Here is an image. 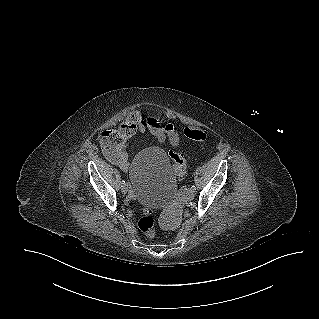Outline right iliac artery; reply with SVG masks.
Masks as SVG:
<instances>
[{
  "label": "right iliac artery",
  "instance_id": "82829eb1",
  "mask_svg": "<svg viewBox=\"0 0 319 319\" xmlns=\"http://www.w3.org/2000/svg\"><path fill=\"white\" fill-rule=\"evenodd\" d=\"M121 184H122V185L125 184V181L123 180V181L121 182Z\"/></svg>",
  "mask_w": 319,
  "mask_h": 319
}]
</instances>
